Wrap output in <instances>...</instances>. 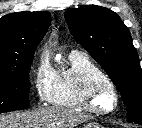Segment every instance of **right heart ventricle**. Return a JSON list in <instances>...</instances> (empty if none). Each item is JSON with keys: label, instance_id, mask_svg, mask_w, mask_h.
<instances>
[{"label": "right heart ventricle", "instance_id": "1", "mask_svg": "<svg viewBox=\"0 0 142 128\" xmlns=\"http://www.w3.org/2000/svg\"><path fill=\"white\" fill-rule=\"evenodd\" d=\"M70 66L55 72L49 102L57 107L82 110L78 92L82 81L90 75H104L101 69L84 54H70Z\"/></svg>", "mask_w": 142, "mask_h": 128}]
</instances>
